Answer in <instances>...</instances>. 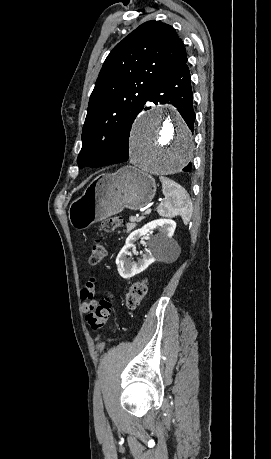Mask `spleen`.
Listing matches in <instances>:
<instances>
[{
    "instance_id": "1",
    "label": "spleen",
    "mask_w": 271,
    "mask_h": 459,
    "mask_svg": "<svg viewBox=\"0 0 271 459\" xmlns=\"http://www.w3.org/2000/svg\"><path fill=\"white\" fill-rule=\"evenodd\" d=\"M160 182H162V192L165 196L164 202H161L157 208L159 216L169 218V216H181L184 224H188L191 220L193 208L191 202L185 200V196L182 192L183 188L169 180L160 176Z\"/></svg>"
}]
</instances>
